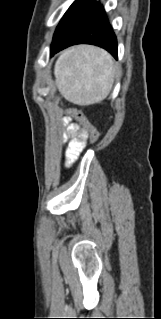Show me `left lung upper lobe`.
<instances>
[{
	"label": "left lung upper lobe",
	"mask_w": 161,
	"mask_h": 319,
	"mask_svg": "<svg viewBox=\"0 0 161 319\" xmlns=\"http://www.w3.org/2000/svg\"><path fill=\"white\" fill-rule=\"evenodd\" d=\"M98 4L99 2L95 0H76L66 11L57 26L52 44L69 33L74 26L86 17Z\"/></svg>",
	"instance_id": "obj_1"
}]
</instances>
